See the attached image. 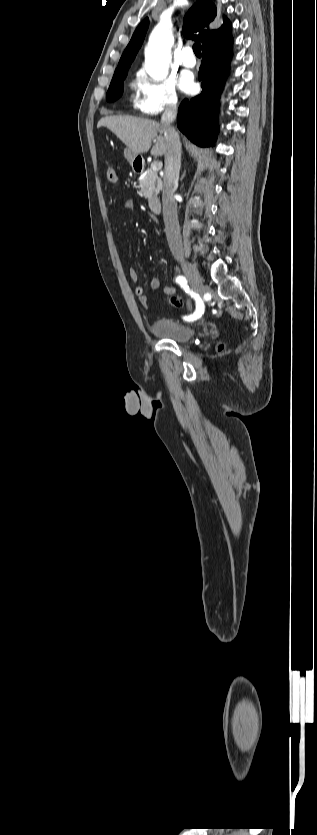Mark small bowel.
Returning a JSON list of instances; mask_svg holds the SVG:
<instances>
[{
  "instance_id": "obj_1",
  "label": "small bowel",
  "mask_w": 317,
  "mask_h": 835,
  "mask_svg": "<svg viewBox=\"0 0 317 835\" xmlns=\"http://www.w3.org/2000/svg\"><path fill=\"white\" fill-rule=\"evenodd\" d=\"M134 205H135V201H134V200H132V199H130V200H128V201H126V202H125V205H124V206H125L127 209H132V208L134 207ZM128 274H129V278H130L131 282L136 283V282L138 281V272H137V270H136L135 268H133V267L129 268V270H128ZM150 286H151V288H152L153 290H158V289H160V288L162 287L161 282H160V280H159L157 277H152V278H151V280H150ZM162 289H163V292H164L166 295H173V294H175V292H176V288H175L174 286H164ZM135 294L137 295V297H138V299H139L140 303H141L143 306H147V305H148V297H147V295L145 294V291H144V288H143V287H141V286H136V287H135ZM195 311H196V308H195ZM195 311H194V313H195ZM194 313H193V314H194ZM193 314H192V315H193ZM190 316H191V315H190ZM190 316H189V317H190Z\"/></svg>"
}]
</instances>
